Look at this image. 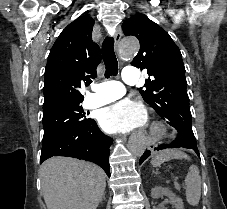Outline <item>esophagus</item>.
Returning <instances> with one entry per match:
<instances>
[{"mask_svg": "<svg viewBox=\"0 0 227 209\" xmlns=\"http://www.w3.org/2000/svg\"><path fill=\"white\" fill-rule=\"evenodd\" d=\"M122 36L121 27H117L114 35L115 40V50L118 51V44ZM141 132V131H140ZM147 149H156V144H153L151 141L147 144Z\"/></svg>", "mask_w": 227, "mask_h": 209, "instance_id": "esophagus-1", "label": "esophagus"}]
</instances>
